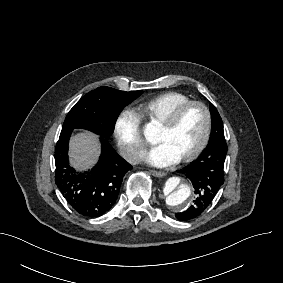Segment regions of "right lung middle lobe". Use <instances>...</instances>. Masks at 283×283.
I'll return each mask as SVG.
<instances>
[{"label": "right lung middle lobe", "instance_id": "1", "mask_svg": "<svg viewBox=\"0 0 283 283\" xmlns=\"http://www.w3.org/2000/svg\"><path fill=\"white\" fill-rule=\"evenodd\" d=\"M143 91L125 92L110 87H99L84 95L70 110L62 130L82 128L103 138L112 135L122 109Z\"/></svg>", "mask_w": 283, "mask_h": 283}]
</instances>
